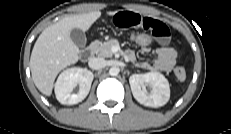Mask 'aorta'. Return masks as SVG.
I'll use <instances>...</instances> for the list:
<instances>
[{
    "mask_svg": "<svg viewBox=\"0 0 231 134\" xmlns=\"http://www.w3.org/2000/svg\"><path fill=\"white\" fill-rule=\"evenodd\" d=\"M109 74L111 76H117L119 74V69L117 67H111L109 69Z\"/></svg>",
    "mask_w": 231,
    "mask_h": 134,
    "instance_id": "1",
    "label": "aorta"
}]
</instances>
